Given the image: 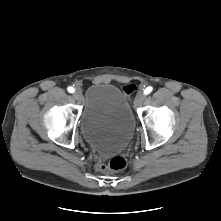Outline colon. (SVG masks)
<instances>
[{
	"label": "colon",
	"instance_id": "colon-1",
	"mask_svg": "<svg viewBox=\"0 0 221 221\" xmlns=\"http://www.w3.org/2000/svg\"><path fill=\"white\" fill-rule=\"evenodd\" d=\"M136 90V86L134 84L125 85L123 88L124 93L129 96ZM127 165V161L123 156H114L112 157L107 164L99 163L97 168L100 171H121L125 169Z\"/></svg>",
	"mask_w": 221,
	"mask_h": 221
}]
</instances>
